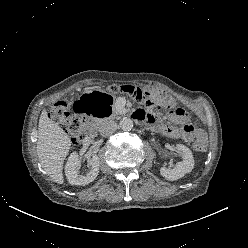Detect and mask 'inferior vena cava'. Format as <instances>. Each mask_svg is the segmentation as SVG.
Returning a JSON list of instances; mask_svg holds the SVG:
<instances>
[{
    "instance_id": "inferior-vena-cava-1",
    "label": "inferior vena cava",
    "mask_w": 248,
    "mask_h": 248,
    "mask_svg": "<svg viewBox=\"0 0 248 248\" xmlns=\"http://www.w3.org/2000/svg\"><path fill=\"white\" fill-rule=\"evenodd\" d=\"M117 129V124L113 120L105 121L99 128L100 135L103 137L110 136Z\"/></svg>"
}]
</instances>
